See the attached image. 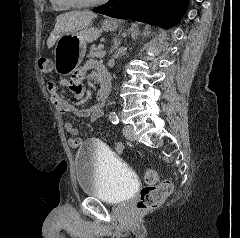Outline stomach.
Returning a JSON list of instances; mask_svg holds the SVG:
<instances>
[{"label": "stomach", "instance_id": "obj_1", "mask_svg": "<svg viewBox=\"0 0 240 238\" xmlns=\"http://www.w3.org/2000/svg\"><path fill=\"white\" fill-rule=\"evenodd\" d=\"M119 21L106 19L101 29L86 27L73 33L61 35L54 48L55 71L59 75H70L82 62L86 52V43L95 41L102 31H115Z\"/></svg>", "mask_w": 240, "mask_h": 238}]
</instances>
